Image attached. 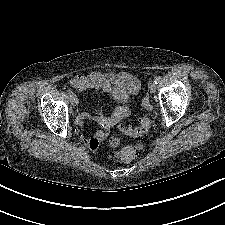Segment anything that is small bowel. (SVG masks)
I'll return each mask as SVG.
<instances>
[{"instance_id":"1","label":"small bowel","mask_w":225,"mask_h":225,"mask_svg":"<svg viewBox=\"0 0 225 225\" xmlns=\"http://www.w3.org/2000/svg\"><path fill=\"white\" fill-rule=\"evenodd\" d=\"M72 85L80 91L86 90H100L108 94H112L114 89H121L125 93L134 95L140 89V81L132 74L128 72L120 73H101L98 71L92 72L89 75H75L71 79ZM122 111V108L115 112L118 115ZM90 117L88 112H81L76 117V125L81 127L86 119ZM99 121L103 124V127L108 126L109 122L99 117ZM101 133V130L98 132ZM96 136L92 138L83 137L84 143L90 148L95 149L98 143H95Z\"/></svg>"}]
</instances>
